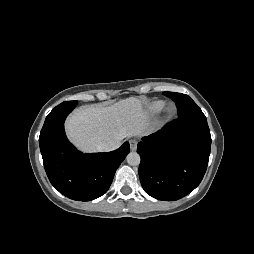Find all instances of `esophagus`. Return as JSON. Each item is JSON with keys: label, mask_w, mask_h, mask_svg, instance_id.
<instances>
[{"label": "esophagus", "mask_w": 254, "mask_h": 254, "mask_svg": "<svg viewBox=\"0 0 254 254\" xmlns=\"http://www.w3.org/2000/svg\"><path fill=\"white\" fill-rule=\"evenodd\" d=\"M130 148L132 151H135L137 149V141L136 140H130Z\"/></svg>", "instance_id": "esophagus-1"}]
</instances>
